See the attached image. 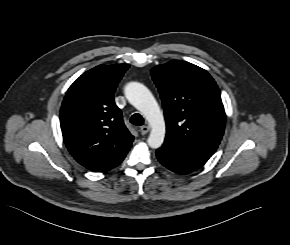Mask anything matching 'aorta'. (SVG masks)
<instances>
[{
  "mask_svg": "<svg viewBox=\"0 0 290 245\" xmlns=\"http://www.w3.org/2000/svg\"><path fill=\"white\" fill-rule=\"evenodd\" d=\"M124 92L127 100L143 114L151 126L148 145L158 149L163 144L166 133L164 116L158 103L149 89L138 82L127 84Z\"/></svg>",
  "mask_w": 290,
  "mask_h": 245,
  "instance_id": "aorta-1",
  "label": "aorta"
}]
</instances>
